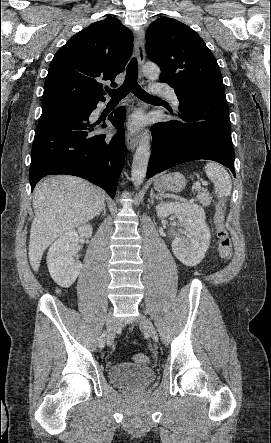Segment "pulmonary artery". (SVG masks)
I'll return each instance as SVG.
<instances>
[{
	"instance_id": "pulmonary-artery-1",
	"label": "pulmonary artery",
	"mask_w": 271,
	"mask_h": 443,
	"mask_svg": "<svg viewBox=\"0 0 271 443\" xmlns=\"http://www.w3.org/2000/svg\"><path fill=\"white\" fill-rule=\"evenodd\" d=\"M159 94L166 96L175 107L179 105L178 97L172 89L160 92ZM105 104H106L105 102L98 103L97 108L95 109V113L96 114L99 113L102 110V108L105 106Z\"/></svg>"
}]
</instances>
